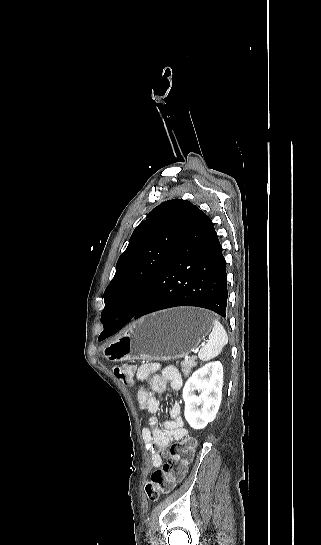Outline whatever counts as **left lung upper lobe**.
Masks as SVG:
<instances>
[{
    "mask_svg": "<svg viewBox=\"0 0 321 545\" xmlns=\"http://www.w3.org/2000/svg\"><path fill=\"white\" fill-rule=\"evenodd\" d=\"M195 208L187 200L165 201L135 228L127 249L119 257L115 276L105 290L103 324L113 310L133 312L141 304L167 264Z\"/></svg>",
    "mask_w": 321,
    "mask_h": 545,
    "instance_id": "5c2ea615",
    "label": "left lung upper lobe"
}]
</instances>
